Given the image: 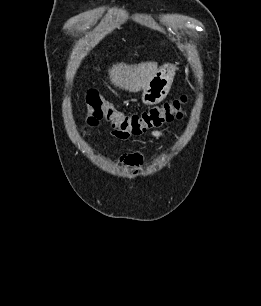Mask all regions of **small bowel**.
Masks as SVG:
<instances>
[{
  "instance_id": "small-bowel-1",
  "label": "small bowel",
  "mask_w": 261,
  "mask_h": 306,
  "mask_svg": "<svg viewBox=\"0 0 261 306\" xmlns=\"http://www.w3.org/2000/svg\"><path fill=\"white\" fill-rule=\"evenodd\" d=\"M151 135L152 137L158 139V138H163L165 136H169L171 135V133L164 132L161 130H155L151 133ZM120 161L126 168H128L132 172H136V170L143 164V156L140 152L134 151V152L126 153L122 155L120 158Z\"/></svg>"
}]
</instances>
